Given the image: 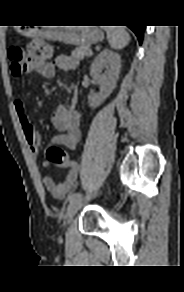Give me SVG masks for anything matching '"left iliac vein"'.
<instances>
[{
	"label": "left iliac vein",
	"instance_id": "4c4485c4",
	"mask_svg": "<svg viewBox=\"0 0 184 292\" xmlns=\"http://www.w3.org/2000/svg\"><path fill=\"white\" fill-rule=\"evenodd\" d=\"M82 205H83L82 200H75L69 204L67 208V215H66V218L68 221L73 219V217L76 215L78 210L82 207Z\"/></svg>",
	"mask_w": 184,
	"mask_h": 292
}]
</instances>
